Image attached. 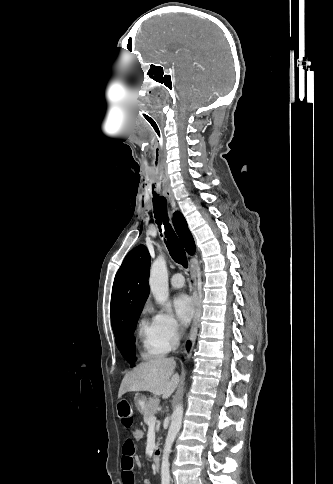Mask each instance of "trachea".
<instances>
[{"label":"trachea","mask_w":333,"mask_h":484,"mask_svg":"<svg viewBox=\"0 0 333 484\" xmlns=\"http://www.w3.org/2000/svg\"><path fill=\"white\" fill-rule=\"evenodd\" d=\"M146 120L150 123V125L154 128L153 137L155 139L154 143V152H155V160L154 163V184L156 185L155 188V196L152 199L153 207H154V217L156 219V224L159 227V231L161 233L163 227V235L165 238V244L169 250V253L172 259L182 265L183 267H188V261L186 257L185 250L183 248L182 243L180 242L179 238L177 237L176 233L174 232L171 224L169 223V217L167 214V200L165 198L164 191L161 188V178L163 173V160L166 157L167 152V143H166V133L165 131L158 128L155 121L148 117L144 116ZM162 236V234H161Z\"/></svg>","instance_id":"3493384b"}]
</instances>
